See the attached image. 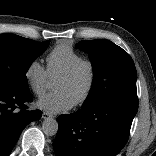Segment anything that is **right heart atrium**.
<instances>
[{
  "label": "right heart atrium",
  "mask_w": 156,
  "mask_h": 156,
  "mask_svg": "<svg viewBox=\"0 0 156 156\" xmlns=\"http://www.w3.org/2000/svg\"><path fill=\"white\" fill-rule=\"evenodd\" d=\"M24 77L28 87L36 96L44 94L49 77L47 70L38 60H32L28 64L24 71Z\"/></svg>",
  "instance_id": "d8ad5b80"
}]
</instances>
